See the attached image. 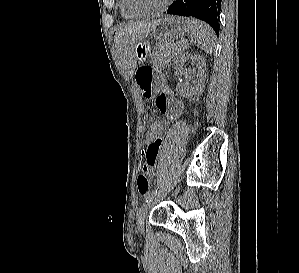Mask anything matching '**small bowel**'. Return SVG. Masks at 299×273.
<instances>
[{"label":"small bowel","mask_w":299,"mask_h":273,"mask_svg":"<svg viewBox=\"0 0 299 273\" xmlns=\"http://www.w3.org/2000/svg\"><path fill=\"white\" fill-rule=\"evenodd\" d=\"M158 111L169 119L177 118L183 111V104L180 100L172 96L161 94L155 101ZM162 145V137L152 142H147L144 152L145 162L142 166V172L148 177L155 175V168L158 161L159 151Z\"/></svg>","instance_id":"obj_1"}]
</instances>
